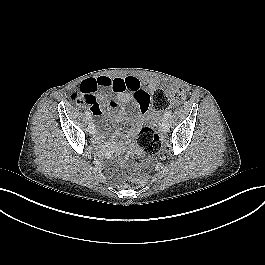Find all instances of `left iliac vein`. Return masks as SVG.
<instances>
[{"instance_id": "1", "label": "left iliac vein", "mask_w": 265, "mask_h": 265, "mask_svg": "<svg viewBox=\"0 0 265 265\" xmlns=\"http://www.w3.org/2000/svg\"><path fill=\"white\" fill-rule=\"evenodd\" d=\"M169 129H170V124H169L168 119H163V122H162V130L164 132H168Z\"/></svg>"}]
</instances>
